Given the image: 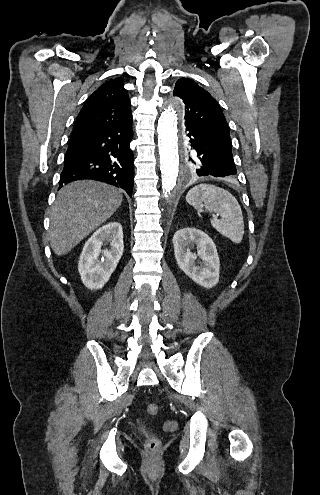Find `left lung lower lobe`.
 Masks as SVG:
<instances>
[{
    "label": "left lung lower lobe",
    "instance_id": "left-lung-lower-lobe-1",
    "mask_svg": "<svg viewBox=\"0 0 320 495\" xmlns=\"http://www.w3.org/2000/svg\"><path fill=\"white\" fill-rule=\"evenodd\" d=\"M185 132L192 148L199 151L198 176L226 177L236 174L230 148L217 142L193 122H185Z\"/></svg>",
    "mask_w": 320,
    "mask_h": 495
}]
</instances>
